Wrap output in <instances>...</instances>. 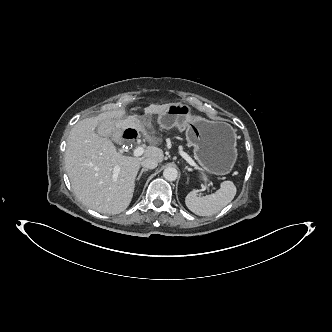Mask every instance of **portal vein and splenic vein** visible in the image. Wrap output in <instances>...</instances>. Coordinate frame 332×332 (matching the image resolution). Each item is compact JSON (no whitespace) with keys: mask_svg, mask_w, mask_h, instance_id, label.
Masks as SVG:
<instances>
[{"mask_svg":"<svg viewBox=\"0 0 332 332\" xmlns=\"http://www.w3.org/2000/svg\"><path fill=\"white\" fill-rule=\"evenodd\" d=\"M143 153H144V149H143V147H137V148L133 151V156L138 157V156L143 155ZM181 155L183 156V158H184L189 164L194 165V162L188 157V155H187L186 153L182 152ZM118 171H119V167L116 166V167L114 168V172H115V174H117Z\"/></svg>","mask_w":332,"mask_h":332,"instance_id":"18ae733b","label":"portal vein and splenic vein"}]
</instances>
